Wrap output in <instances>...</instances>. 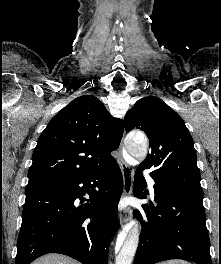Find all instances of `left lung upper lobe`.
Instances as JSON below:
<instances>
[{"mask_svg":"<svg viewBox=\"0 0 221 264\" xmlns=\"http://www.w3.org/2000/svg\"><path fill=\"white\" fill-rule=\"evenodd\" d=\"M125 130L138 128L149 138L150 152L139 166L175 189L203 195L193 139L182 118L160 98L138 100L124 118Z\"/></svg>","mask_w":221,"mask_h":264,"instance_id":"5c2ea615","label":"left lung upper lobe"}]
</instances>
